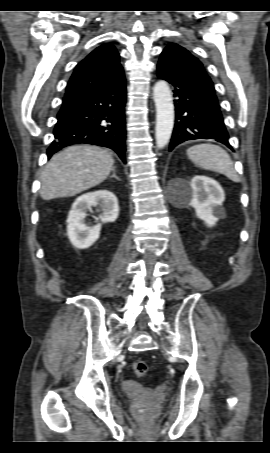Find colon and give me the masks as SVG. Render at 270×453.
Wrapping results in <instances>:
<instances>
[{"label":"colon","instance_id":"5ec220e1","mask_svg":"<svg viewBox=\"0 0 270 453\" xmlns=\"http://www.w3.org/2000/svg\"><path fill=\"white\" fill-rule=\"evenodd\" d=\"M133 372L138 377H143L148 373V365L143 360H137L133 363Z\"/></svg>","mask_w":270,"mask_h":453}]
</instances>
